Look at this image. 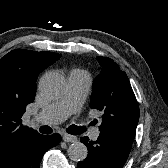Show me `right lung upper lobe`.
<instances>
[{
  "label": "right lung upper lobe",
  "instance_id": "right-lung-upper-lobe-1",
  "mask_svg": "<svg viewBox=\"0 0 168 168\" xmlns=\"http://www.w3.org/2000/svg\"><path fill=\"white\" fill-rule=\"evenodd\" d=\"M60 57L53 52L15 49L0 59V168L20 142L38 135L21 118L34 101L39 73Z\"/></svg>",
  "mask_w": 168,
  "mask_h": 168
}]
</instances>
